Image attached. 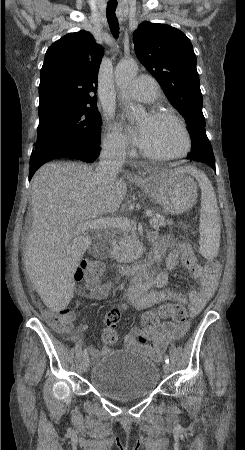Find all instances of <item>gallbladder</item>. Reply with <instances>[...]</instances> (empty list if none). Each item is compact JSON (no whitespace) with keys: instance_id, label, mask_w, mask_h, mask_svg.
Here are the masks:
<instances>
[{"instance_id":"1","label":"gallbladder","mask_w":245,"mask_h":450,"mask_svg":"<svg viewBox=\"0 0 245 450\" xmlns=\"http://www.w3.org/2000/svg\"><path fill=\"white\" fill-rule=\"evenodd\" d=\"M89 252L96 258H103L105 256V253H103V246L99 244H91Z\"/></svg>"}]
</instances>
